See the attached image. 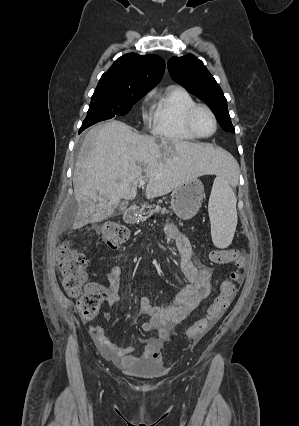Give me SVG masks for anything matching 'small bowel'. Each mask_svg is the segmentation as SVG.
Masks as SVG:
<instances>
[{
  "mask_svg": "<svg viewBox=\"0 0 299 426\" xmlns=\"http://www.w3.org/2000/svg\"><path fill=\"white\" fill-rule=\"evenodd\" d=\"M165 234L175 242L184 287L165 307L154 306L149 297H141V312L148 316V320L141 326L142 330L155 331L156 334L144 339L143 350L139 354H134V347H123L112 343L106 337L103 328L96 327L94 330L95 340L103 357L113 361L119 367L127 368L144 362L159 363L161 349L170 328L184 320L210 293L212 271L206 265L193 260L189 239L172 224L165 227ZM120 275V268L112 265L105 273L108 286L92 285L102 294L109 307L119 301ZM104 317L108 318L107 312L104 313Z\"/></svg>",
  "mask_w": 299,
  "mask_h": 426,
  "instance_id": "1",
  "label": "small bowel"
}]
</instances>
